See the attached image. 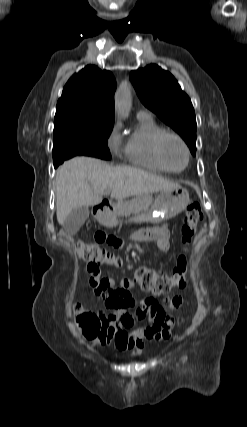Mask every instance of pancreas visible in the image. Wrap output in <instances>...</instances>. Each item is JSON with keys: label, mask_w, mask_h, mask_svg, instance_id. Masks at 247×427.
Wrapping results in <instances>:
<instances>
[{"label": "pancreas", "mask_w": 247, "mask_h": 427, "mask_svg": "<svg viewBox=\"0 0 247 427\" xmlns=\"http://www.w3.org/2000/svg\"><path fill=\"white\" fill-rule=\"evenodd\" d=\"M151 204L152 196L150 195L136 196L131 200H121L116 204L114 214L116 216H123L133 212H146L149 210Z\"/></svg>", "instance_id": "obj_1"}]
</instances>
